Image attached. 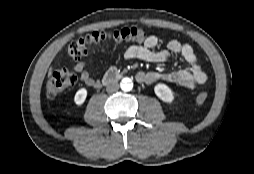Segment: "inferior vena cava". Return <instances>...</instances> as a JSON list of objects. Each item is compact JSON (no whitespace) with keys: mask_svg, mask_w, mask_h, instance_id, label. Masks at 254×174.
<instances>
[{"mask_svg":"<svg viewBox=\"0 0 254 174\" xmlns=\"http://www.w3.org/2000/svg\"><path fill=\"white\" fill-rule=\"evenodd\" d=\"M106 90L108 93H115L119 90V84L117 82H111L107 85Z\"/></svg>","mask_w":254,"mask_h":174,"instance_id":"obj_1","label":"inferior vena cava"}]
</instances>
